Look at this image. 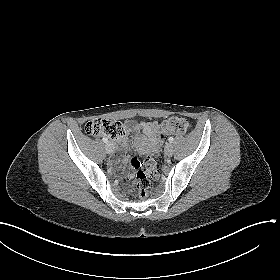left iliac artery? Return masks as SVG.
Here are the masks:
<instances>
[{
    "label": "left iliac artery",
    "instance_id": "obj_1",
    "mask_svg": "<svg viewBox=\"0 0 280 280\" xmlns=\"http://www.w3.org/2000/svg\"><path fill=\"white\" fill-rule=\"evenodd\" d=\"M168 141H169L170 143H172V142L174 141V138H173V137H169Z\"/></svg>",
    "mask_w": 280,
    "mask_h": 280
}]
</instances>
